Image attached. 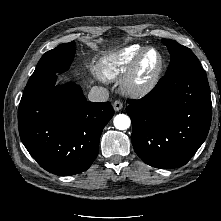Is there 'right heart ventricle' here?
I'll return each mask as SVG.
<instances>
[{"label": "right heart ventricle", "mask_w": 221, "mask_h": 221, "mask_svg": "<svg viewBox=\"0 0 221 221\" xmlns=\"http://www.w3.org/2000/svg\"><path fill=\"white\" fill-rule=\"evenodd\" d=\"M141 50L142 46L131 45L103 56L97 63V75L105 81L119 78L127 72Z\"/></svg>", "instance_id": "obj_1"}]
</instances>
